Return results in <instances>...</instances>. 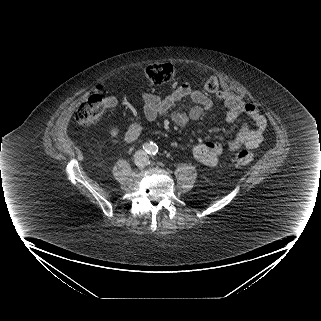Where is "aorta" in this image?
Instances as JSON below:
<instances>
[{"label": "aorta", "instance_id": "1", "mask_svg": "<svg viewBox=\"0 0 321 321\" xmlns=\"http://www.w3.org/2000/svg\"><path fill=\"white\" fill-rule=\"evenodd\" d=\"M147 151L150 154H155L158 151V146L155 143H150L147 147Z\"/></svg>", "mask_w": 321, "mask_h": 321}]
</instances>
